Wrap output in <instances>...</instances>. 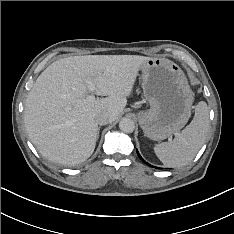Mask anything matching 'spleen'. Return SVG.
I'll use <instances>...</instances> for the list:
<instances>
[{
  "mask_svg": "<svg viewBox=\"0 0 234 234\" xmlns=\"http://www.w3.org/2000/svg\"><path fill=\"white\" fill-rule=\"evenodd\" d=\"M209 110L204 101L197 104L191 123L172 143L163 142L154 147L159 160L167 167H181L190 163L202 147L209 130Z\"/></svg>",
  "mask_w": 234,
  "mask_h": 234,
  "instance_id": "1",
  "label": "spleen"
}]
</instances>
